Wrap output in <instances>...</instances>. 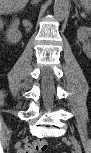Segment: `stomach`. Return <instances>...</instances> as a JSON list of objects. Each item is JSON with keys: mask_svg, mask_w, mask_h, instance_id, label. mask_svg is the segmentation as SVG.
Here are the masks:
<instances>
[{"mask_svg": "<svg viewBox=\"0 0 91 153\" xmlns=\"http://www.w3.org/2000/svg\"><path fill=\"white\" fill-rule=\"evenodd\" d=\"M82 3H83V5L89 7L91 4V1L90 0H83Z\"/></svg>", "mask_w": 91, "mask_h": 153, "instance_id": "obj_1", "label": "stomach"}]
</instances>
